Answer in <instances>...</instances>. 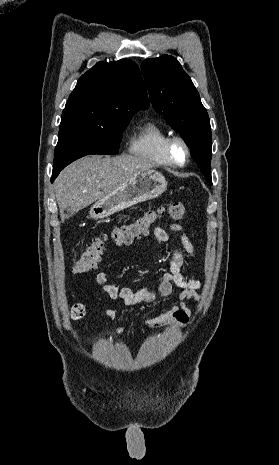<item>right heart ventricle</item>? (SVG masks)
Masks as SVG:
<instances>
[{
	"label": "right heart ventricle",
	"mask_w": 279,
	"mask_h": 465,
	"mask_svg": "<svg viewBox=\"0 0 279 465\" xmlns=\"http://www.w3.org/2000/svg\"><path fill=\"white\" fill-rule=\"evenodd\" d=\"M169 136L168 130L159 121L149 119L131 140L129 151L159 165L170 166L165 153V142Z\"/></svg>",
	"instance_id": "right-heart-ventricle-1"
}]
</instances>
